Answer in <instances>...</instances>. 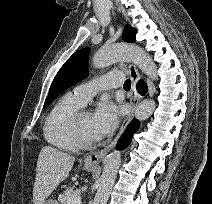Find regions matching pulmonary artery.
<instances>
[{
  "mask_svg": "<svg viewBox=\"0 0 212 204\" xmlns=\"http://www.w3.org/2000/svg\"><path fill=\"white\" fill-rule=\"evenodd\" d=\"M122 82L121 73H109L75 87L71 94L82 105H85L98 92L118 87Z\"/></svg>",
  "mask_w": 212,
  "mask_h": 204,
  "instance_id": "e3ab8cb5",
  "label": "pulmonary artery"
}]
</instances>
